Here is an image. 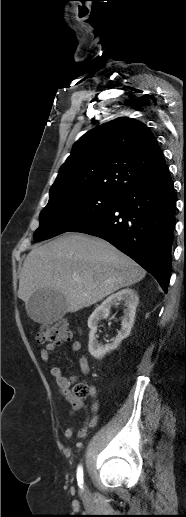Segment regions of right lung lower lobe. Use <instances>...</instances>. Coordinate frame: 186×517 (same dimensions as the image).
Returning <instances> with one entry per match:
<instances>
[{"label":"right lung lower lobe","instance_id":"right-lung-lower-lobe-1","mask_svg":"<svg viewBox=\"0 0 186 517\" xmlns=\"http://www.w3.org/2000/svg\"><path fill=\"white\" fill-rule=\"evenodd\" d=\"M175 201L167 171L125 191L111 208L70 231L110 242L151 273L166 293L171 274Z\"/></svg>","mask_w":186,"mask_h":517}]
</instances>
